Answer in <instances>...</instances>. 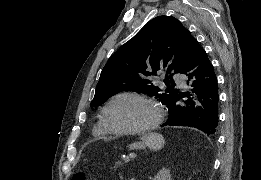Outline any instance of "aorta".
<instances>
[{"mask_svg": "<svg viewBox=\"0 0 261 180\" xmlns=\"http://www.w3.org/2000/svg\"><path fill=\"white\" fill-rule=\"evenodd\" d=\"M195 103H196L195 106H198V105H199V103H198L197 101H195Z\"/></svg>", "mask_w": 261, "mask_h": 180, "instance_id": "1", "label": "aorta"}]
</instances>
